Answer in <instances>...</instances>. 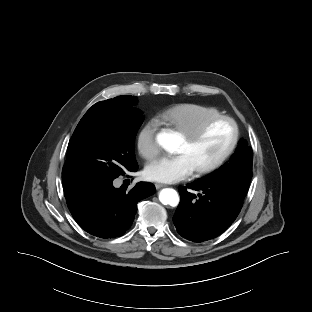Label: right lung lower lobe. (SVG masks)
I'll return each mask as SVG.
<instances>
[{
    "mask_svg": "<svg viewBox=\"0 0 312 312\" xmlns=\"http://www.w3.org/2000/svg\"><path fill=\"white\" fill-rule=\"evenodd\" d=\"M138 166L132 171L135 172ZM113 180L87 188L66 198L75 221L88 233L101 238H114L124 234L131 226L137 203L155 193L151 183L140 182L130 191L113 187Z\"/></svg>",
    "mask_w": 312,
    "mask_h": 312,
    "instance_id": "1",
    "label": "right lung lower lobe"
}]
</instances>
